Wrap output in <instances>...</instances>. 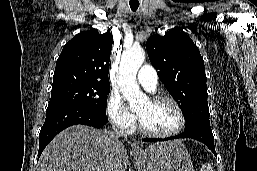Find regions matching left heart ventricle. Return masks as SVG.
I'll return each instance as SVG.
<instances>
[{
    "label": "left heart ventricle",
    "instance_id": "left-heart-ventricle-1",
    "mask_svg": "<svg viewBox=\"0 0 257 171\" xmlns=\"http://www.w3.org/2000/svg\"><path fill=\"white\" fill-rule=\"evenodd\" d=\"M143 124L150 130L168 132L178 125V115L173 106L166 102H144L136 110Z\"/></svg>",
    "mask_w": 257,
    "mask_h": 171
}]
</instances>
